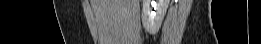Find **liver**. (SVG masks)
<instances>
[{"label":"liver","mask_w":261,"mask_h":44,"mask_svg":"<svg viewBox=\"0 0 261 44\" xmlns=\"http://www.w3.org/2000/svg\"><path fill=\"white\" fill-rule=\"evenodd\" d=\"M99 44L139 42V0H91Z\"/></svg>","instance_id":"obj_1"}]
</instances>
